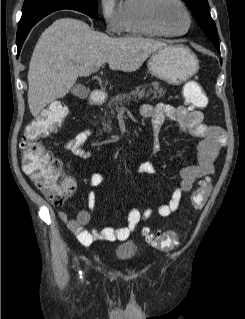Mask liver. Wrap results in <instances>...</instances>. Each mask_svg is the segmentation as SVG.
I'll list each match as a JSON object with an SVG mask.
<instances>
[{"instance_id": "obj_1", "label": "liver", "mask_w": 245, "mask_h": 319, "mask_svg": "<svg viewBox=\"0 0 245 319\" xmlns=\"http://www.w3.org/2000/svg\"><path fill=\"white\" fill-rule=\"evenodd\" d=\"M167 44L151 38H111L74 18L57 19L41 34L28 71V105L36 117L51 102L63 98L79 76L105 63L110 69L133 72Z\"/></svg>"}]
</instances>
